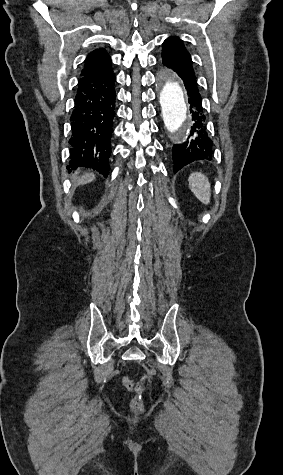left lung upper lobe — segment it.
<instances>
[{"mask_svg": "<svg viewBox=\"0 0 283 475\" xmlns=\"http://www.w3.org/2000/svg\"><path fill=\"white\" fill-rule=\"evenodd\" d=\"M163 45V52H166L167 58L192 61L191 55L186 50L182 40H180L178 37H170L166 39Z\"/></svg>", "mask_w": 283, "mask_h": 475, "instance_id": "obj_1", "label": "left lung upper lobe"}]
</instances>
